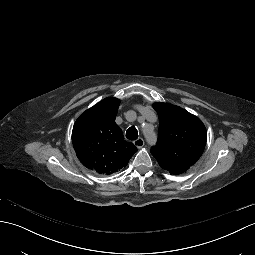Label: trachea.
Returning <instances> with one entry per match:
<instances>
[{
    "label": "trachea",
    "mask_w": 255,
    "mask_h": 255,
    "mask_svg": "<svg viewBox=\"0 0 255 255\" xmlns=\"http://www.w3.org/2000/svg\"><path fill=\"white\" fill-rule=\"evenodd\" d=\"M126 137L129 140H136L138 138V131L134 126H131L127 131H126Z\"/></svg>",
    "instance_id": "trachea-1"
}]
</instances>
